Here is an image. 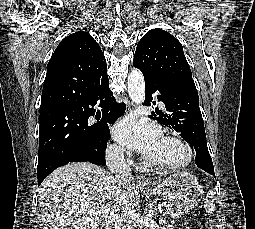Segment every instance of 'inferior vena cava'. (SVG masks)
I'll list each match as a JSON object with an SVG mask.
<instances>
[{
  "mask_svg": "<svg viewBox=\"0 0 255 229\" xmlns=\"http://www.w3.org/2000/svg\"><path fill=\"white\" fill-rule=\"evenodd\" d=\"M125 149L120 146L111 147L106 152V163L113 178L118 182H127L132 179L130 167L124 157ZM117 229H135V213L125 204L120 209L115 221Z\"/></svg>",
  "mask_w": 255,
  "mask_h": 229,
  "instance_id": "obj_1",
  "label": "inferior vena cava"
}]
</instances>
